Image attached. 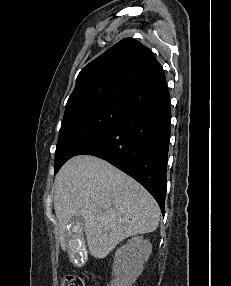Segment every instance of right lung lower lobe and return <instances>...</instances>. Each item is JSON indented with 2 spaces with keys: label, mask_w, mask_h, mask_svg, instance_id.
Here are the masks:
<instances>
[{
  "label": "right lung lower lobe",
  "mask_w": 231,
  "mask_h": 286,
  "mask_svg": "<svg viewBox=\"0 0 231 286\" xmlns=\"http://www.w3.org/2000/svg\"><path fill=\"white\" fill-rule=\"evenodd\" d=\"M130 112L77 155L97 156L142 184L164 214L170 137V95L166 81L128 104Z\"/></svg>",
  "instance_id": "98d812e1"
}]
</instances>
